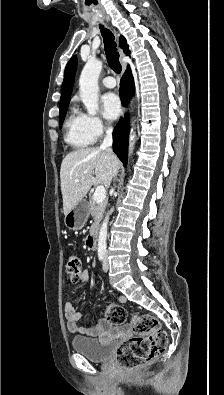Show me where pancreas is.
I'll return each mask as SVG.
<instances>
[{"label":"pancreas","instance_id":"obj_1","mask_svg":"<svg viewBox=\"0 0 224 395\" xmlns=\"http://www.w3.org/2000/svg\"><path fill=\"white\" fill-rule=\"evenodd\" d=\"M107 206V200L105 199L104 201L97 203L93 197H90L89 203H88V211L94 218V223L91 227V230H93L95 227L98 226L100 221L102 220L103 213L105 211V208Z\"/></svg>","mask_w":224,"mask_h":395}]
</instances>
